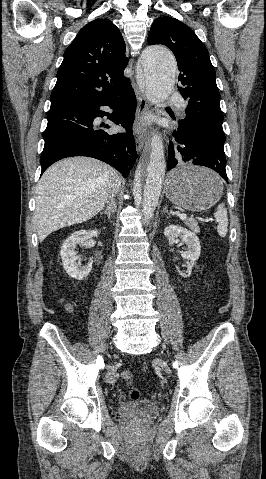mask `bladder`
<instances>
[{"label":"bladder","mask_w":266,"mask_h":479,"mask_svg":"<svg viewBox=\"0 0 266 479\" xmlns=\"http://www.w3.org/2000/svg\"><path fill=\"white\" fill-rule=\"evenodd\" d=\"M118 412L122 416L150 419L159 414V407L157 404L150 401H124L118 406Z\"/></svg>","instance_id":"1"}]
</instances>
